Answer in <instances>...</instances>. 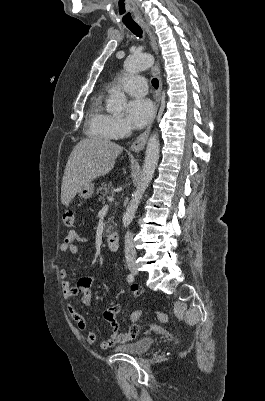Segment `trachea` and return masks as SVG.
<instances>
[{
  "label": "trachea",
  "instance_id": "1",
  "mask_svg": "<svg viewBox=\"0 0 265 401\" xmlns=\"http://www.w3.org/2000/svg\"><path fill=\"white\" fill-rule=\"evenodd\" d=\"M127 28H129V30L134 33V35L138 36V37H142V30L139 27V25H137V23L135 22H131V23H126L125 24ZM152 86L157 90L159 87V82L157 78H153L152 79Z\"/></svg>",
  "mask_w": 265,
  "mask_h": 401
}]
</instances>
